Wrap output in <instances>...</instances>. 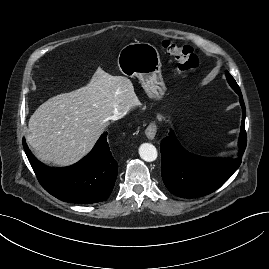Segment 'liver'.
Returning a JSON list of instances; mask_svg holds the SVG:
<instances>
[{"mask_svg": "<svg viewBox=\"0 0 269 269\" xmlns=\"http://www.w3.org/2000/svg\"><path fill=\"white\" fill-rule=\"evenodd\" d=\"M139 105L130 79L98 69L86 86L40 105L26 140L40 160L68 166L89 153L113 114Z\"/></svg>", "mask_w": 269, "mask_h": 269, "instance_id": "liver-1", "label": "liver"}]
</instances>
